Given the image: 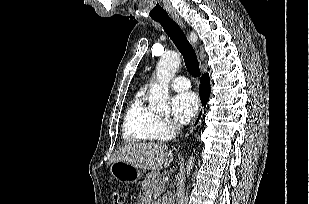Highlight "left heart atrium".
<instances>
[{"label": "left heart atrium", "mask_w": 309, "mask_h": 204, "mask_svg": "<svg viewBox=\"0 0 309 204\" xmlns=\"http://www.w3.org/2000/svg\"><path fill=\"white\" fill-rule=\"evenodd\" d=\"M199 101L193 92H182L174 96L172 110L175 118L182 124L190 122L196 115Z\"/></svg>", "instance_id": "obj_1"}]
</instances>
